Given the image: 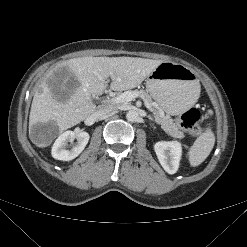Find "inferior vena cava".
Wrapping results in <instances>:
<instances>
[{
    "mask_svg": "<svg viewBox=\"0 0 247 247\" xmlns=\"http://www.w3.org/2000/svg\"><path fill=\"white\" fill-rule=\"evenodd\" d=\"M115 112V108L111 105H100L97 107L96 111L93 113L95 118H102L111 113Z\"/></svg>",
    "mask_w": 247,
    "mask_h": 247,
    "instance_id": "602c4592",
    "label": "inferior vena cava"
}]
</instances>
